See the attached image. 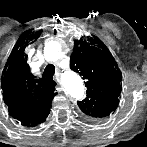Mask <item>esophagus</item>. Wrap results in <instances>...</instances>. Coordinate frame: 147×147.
<instances>
[{"mask_svg": "<svg viewBox=\"0 0 147 147\" xmlns=\"http://www.w3.org/2000/svg\"><path fill=\"white\" fill-rule=\"evenodd\" d=\"M55 82L57 83V85H60V80H59V78L58 77H55Z\"/></svg>", "mask_w": 147, "mask_h": 147, "instance_id": "1", "label": "esophagus"}]
</instances>
